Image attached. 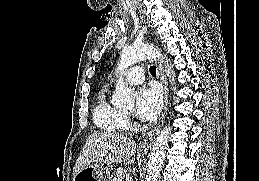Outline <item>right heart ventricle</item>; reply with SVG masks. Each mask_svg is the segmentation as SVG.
Instances as JSON below:
<instances>
[{"mask_svg":"<svg viewBox=\"0 0 259 181\" xmlns=\"http://www.w3.org/2000/svg\"><path fill=\"white\" fill-rule=\"evenodd\" d=\"M108 88H102L97 94L93 109V120L96 126L104 131L123 132L128 128V119L123 111L108 100Z\"/></svg>","mask_w":259,"mask_h":181,"instance_id":"obj_1","label":"right heart ventricle"}]
</instances>
